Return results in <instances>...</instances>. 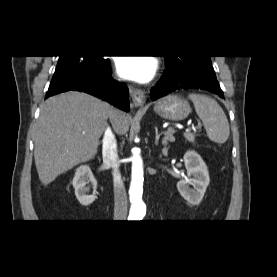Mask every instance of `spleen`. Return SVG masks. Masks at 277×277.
<instances>
[{"label":"spleen","mask_w":277,"mask_h":277,"mask_svg":"<svg viewBox=\"0 0 277 277\" xmlns=\"http://www.w3.org/2000/svg\"><path fill=\"white\" fill-rule=\"evenodd\" d=\"M195 111L202 120L208 138L218 144L227 141L230 135L227 117L220 105L212 98L201 94H190Z\"/></svg>","instance_id":"obj_1"}]
</instances>
